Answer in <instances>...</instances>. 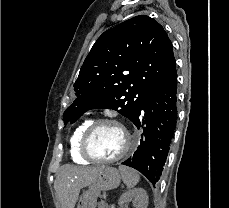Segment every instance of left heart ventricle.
<instances>
[{"label":"left heart ventricle","mask_w":229,"mask_h":208,"mask_svg":"<svg viewBox=\"0 0 229 208\" xmlns=\"http://www.w3.org/2000/svg\"><path fill=\"white\" fill-rule=\"evenodd\" d=\"M128 142L126 133L116 125L106 124L97 129L92 139H89V152L100 160L117 157L125 149Z\"/></svg>","instance_id":"b2bd125f"}]
</instances>
